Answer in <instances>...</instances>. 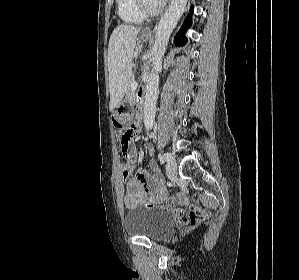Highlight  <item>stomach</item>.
Here are the masks:
<instances>
[{
  "label": "stomach",
  "mask_w": 299,
  "mask_h": 280,
  "mask_svg": "<svg viewBox=\"0 0 299 280\" xmlns=\"http://www.w3.org/2000/svg\"><path fill=\"white\" fill-rule=\"evenodd\" d=\"M140 38L143 42H148L151 40V37L146 35H141ZM130 105V102L127 100L121 101L116 109L112 112V120L117 128H124L129 122L130 114L127 109Z\"/></svg>",
  "instance_id": "obj_1"
}]
</instances>
